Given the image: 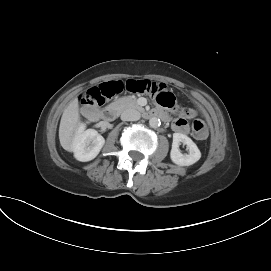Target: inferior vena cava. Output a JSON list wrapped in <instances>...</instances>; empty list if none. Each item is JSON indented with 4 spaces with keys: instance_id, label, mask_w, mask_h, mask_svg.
<instances>
[{
    "instance_id": "1",
    "label": "inferior vena cava",
    "mask_w": 271,
    "mask_h": 271,
    "mask_svg": "<svg viewBox=\"0 0 271 271\" xmlns=\"http://www.w3.org/2000/svg\"><path fill=\"white\" fill-rule=\"evenodd\" d=\"M140 119V113L136 109H126L121 114L123 121H137Z\"/></svg>"
}]
</instances>
